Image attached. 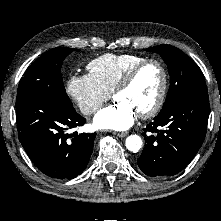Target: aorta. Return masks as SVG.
<instances>
[{
  "label": "aorta",
  "instance_id": "1",
  "mask_svg": "<svg viewBox=\"0 0 221 221\" xmlns=\"http://www.w3.org/2000/svg\"><path fill=\"white\" fill-rule=\"evenodd\" d=\"M142 139L138 135H130L126 138L125 145L129 151L138 152L142 147Z\"/></svg>",
  "mask_w": 221,
  "mask_h": 221
}]
</instances>
